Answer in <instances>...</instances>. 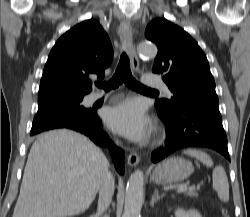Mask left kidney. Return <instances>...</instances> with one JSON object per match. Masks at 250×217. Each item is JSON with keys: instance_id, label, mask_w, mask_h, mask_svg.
I'll use <instances>...</instances> for the list:
<instances>
[{"instance_id": "5707ae66", "label": "left kidney", "mask_w": 250, "mask_h": 217, "mask_svg": "<svg viewBox=\"0 0 250 217\" xmlns=\"http://www.w3.org/2000/svg\"><path fill=\"white\" fill-rule=\"evenodd\" d=\"M175 217H202L197 210L185 211L181 208L175 211Z\"/></svg>"}]
</instances>
